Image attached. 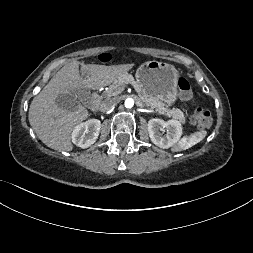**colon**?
<instances>
[{
    "instance_id": "colon-1",
    "label": "colon",
    "mask_w": 253,
    "mask_h": 253,
    "mask_svg": "<svg viewBox=\"0 0 253 253\" xmlns=\"http://www.w3.org/2000/svg\"><path fill=\"white\" fill-rule=\"evenodd\" d=\"M101 62H108L110 56L108 53H102L98 56ZM178 89L180 95L185 100H191L193 98V92L189 81L186 78H180L178 80ZM212 116L211 112L205 107H198L192 117V122L199 128H206L211 124Z\"/></svg>"
}]
</instances>
